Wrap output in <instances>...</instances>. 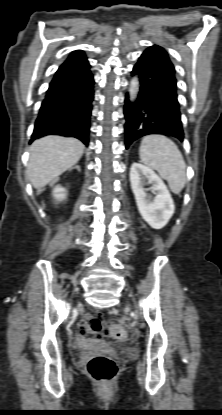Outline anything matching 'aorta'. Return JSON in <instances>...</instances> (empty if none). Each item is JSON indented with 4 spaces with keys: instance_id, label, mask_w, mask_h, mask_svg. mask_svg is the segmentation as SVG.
Returning <instances> with one entry per match:
<instances>
[{
    "instance_id": "762f6f07",
    "label": "aorta",
    "mask_w": 222,
    "mask_h": 415,
    "mask_svg": "<svg viewBox=\"0 0 222 415\" xmlns=\"http://www.w3.org/2000/svg\"><path fill=\"white\" fill-rule=\"evenodd\" d=\"M138 87H139V81H138V78L135 76L131 79L130 85H129V96H130L131 102H133L136 99Z\"/></svg>"
}]
</instances>
